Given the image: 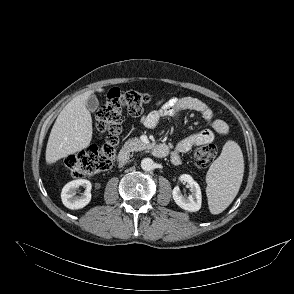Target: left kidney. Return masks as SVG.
I'll list each match as a JSON object with an SVG mask.
<instances>
[{"instance_id": "obj_1", "label": "left kidney", "mask_w": 294, "mask_h": 294, "mask_svg": "<svg viewBox=\"0 0 294 294\" xmlns=\"http://www.w3.org/2000/svg\"><path fill=\"white\" fill-rule=\"evenodd\" d=\"M180 181L188 183L191 195L184 197L178 186L172 191L175 203L182 209L190 212H196L201 208L202 195L199 184L188 174H183L179 178Z\"/></svg>"}]
</instances>
